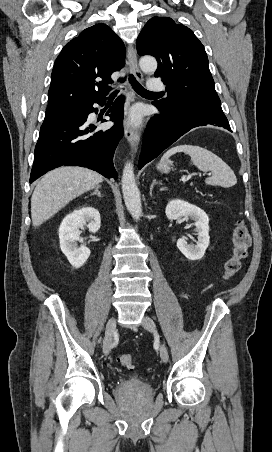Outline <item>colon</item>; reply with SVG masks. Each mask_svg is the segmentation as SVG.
Listing matches in <instances>:
<instances>
[{
    "label": "colon",
    "instance_id": "1",
    "mask_svg": "<svg viewBox=\"0 0 272 452\" xmlns=\"http://www.w3.org/2000/svg\"><path fill=\"white\" fill-rule=\"evenodd\" d=\"M232 241V253L225 264V280H229L234 277L241 269L242 261L246 258L251 244L249 232L242 220H239L234 228ZM119 362L127 368H132L134 366V358L131 354L121 355L119 357Z\"/></svg>",
    "mask_w": 272,
    "mask_h": 452
}]
</instances>
